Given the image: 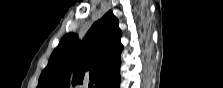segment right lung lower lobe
<instances>
[{
  "label": "right lung lower lobe",
  "mask_w": 223,
  "mask_h": 88,
  "mask_svg": "<svg viewBox=\"0 0 223 88\" xmlns=\"http://www.w3.org/2000/svg\"><path fill=\"white\" fill-rule=\"evenodd\" d=\"M119 82H120V80L118 82L112 83L108 88H118Z\"/></svg>",
  "instance_id": "right-lung-lower-lobe-1"
}]
</instances>
